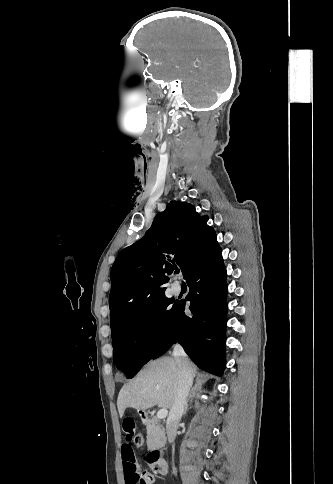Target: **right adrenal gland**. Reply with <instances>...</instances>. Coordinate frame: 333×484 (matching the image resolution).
Returning a JSON list of instances; mask_svg holds the SVG:
<instances>
[{
    "label": "right adrenal gland",
    "mask_w": 333,
    "mask_h": 484,
    "mask_svg": "<svg viewBox=\"0 0 333 484\" xmlns=\"http://www.w3.org/2000/svg\"><path fill=\"white\" fill-rule=\"evenodd\" d=\"M188 407H189V404L186 403V406H185V409H184V413H183L184 416L187 414Z\"/></svg>",
    "instance_id": "2a0ac1e0"
}]
</instances>
